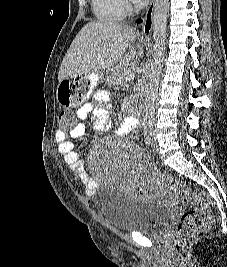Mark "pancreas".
Segmentation results:
<instances>
[{"mask_svg":"<svg viewBox=\"0 0 227 267\" xmlns=\"http://www.w3.org/2000/svg\"><path fill=\"white\" fill-rule=\"evenodd\" d=\"M133 75L131 70L118 69L110 75L108 82L112 85H124L127 81L133 80Z\"/></svg>","mask_w":227,"mask_h":267,"instance_id":"cf45deb5","label":"pancreas"}]
</instances>
